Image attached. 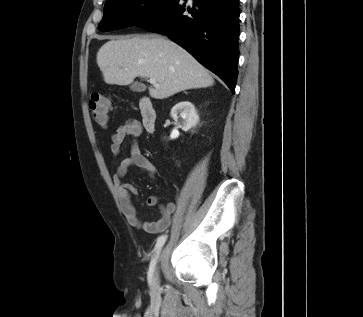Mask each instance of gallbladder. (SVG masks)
Instances as JSON below:
<instances>
[{
  "mask_svg": "<svg viewBox=\"0 0 363 317\" xmlns=\"http://www.w3.org/2000/svg\"><path fill=\"white\" fill-rule=\"evenodd\" d=\"M130 89L133 92H142L145 90V87L143 84L139 83V82H135L133 84L130 85Z\"/></svg>",
  "mask_w": 363,
  "mask_h": 317,
  "instance_id": "obj_1",
  "label": "gallbladder"
}]
</instances>
